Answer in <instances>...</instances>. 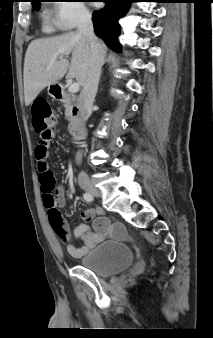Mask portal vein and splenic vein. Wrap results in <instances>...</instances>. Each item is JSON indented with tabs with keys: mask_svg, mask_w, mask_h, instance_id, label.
Here are the masks:
<instances>
[{
	"mask_svg": "<svg viewBox=\"0 0 213 338\" xmlns=\"http://www.w3.org/2000/svg\"><path fill=\"white\" fill-rule=\"evenodd\" d=\"M60 59H63V57H60ZM79 91V84L78 83H72L69 86V92L71 93H77Z\"/></svg>",
	"mask_w": 213,
	"mask_h": 338,
	"instance_id": "obj_1",
	"label": "portal vein and splenic vein"
}]
</instances>
